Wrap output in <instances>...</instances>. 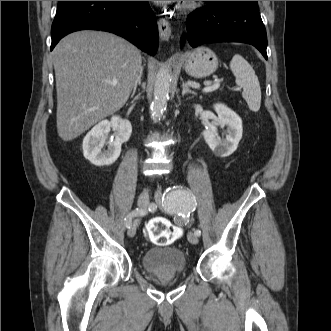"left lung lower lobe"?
Masks as SVG:
<instances>
[{
  "instance_id": "0a47b994",
  "label": "left lung lower lobe",
  "mask_w": 331,
  "mask_h": 331,
  "mask_svg": "<svg viewBox=\"0 0 331 331\" xmlns=\"http://www.w3.org/2000/svg\"><path fill=\"white\" fill-rule=\"evenodd\" d=\"M188 16L182 44L191 47L215 42L254 45L267 59V36L257 1H205Z\"/></svg>"
}]
</instances>
